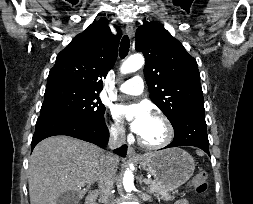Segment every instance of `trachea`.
Instances as JSON below:
<instances>
[{
  "instance_id": "1",
  "label": "trachea",
  "mask_w": 253,
  "mask_h": 204,
  "mask_svg": "<svg viewBox=\"0 0 253 204\" xmlns=\"http://www.w3.org/2000/svg\"><path fill=\"white\" fill-rule=\"evenodd\" d=\"M130 48V41L127 35H125L120 43V57L123 59L127 56Z\"/></svg>"
}]
</instances>
